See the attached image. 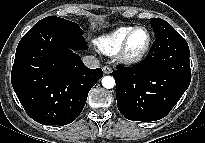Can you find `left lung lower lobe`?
<instances>
[{
  "mask_svg": "<svg viewBox=\"0 0 205 143\" xmlns=\"http://www.w3.org/2000/svg\"><path fill=\"white\" fill-rule=\"evenodd\" d=\"M190 51L175 30L156 38L147 57L113 71L119 111L129 120L156 121L165 117L191 81Z\"/></svg>",
  "mask_w": 205,
  "mask_h": 143,
  "instance_id": "0a47b994",
  "label": "left lung lower lobe"
}]
</instances>
